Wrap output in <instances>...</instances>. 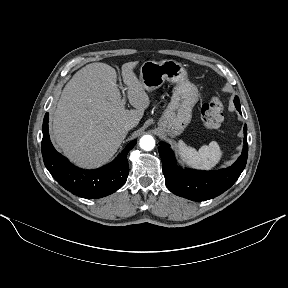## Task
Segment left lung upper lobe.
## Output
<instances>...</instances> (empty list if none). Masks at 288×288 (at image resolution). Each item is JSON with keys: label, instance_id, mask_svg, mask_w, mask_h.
<instances>
[{"label": "left lung upper lobe", "instance_id": "obj_1", "mask_svg": "<svg viewBox=\"0 0 288 288\" xmlns=\"http://www.w3.org/2000/svg\"><path fill=\"white\" fill-rule=\"evenodd\" d=\"M235 102L240 103L239 98H238L237 96H236L235 99H234V103H235Z\"/></svg>", "mask_w": 288, "mask_h": 288}]
</instances>
